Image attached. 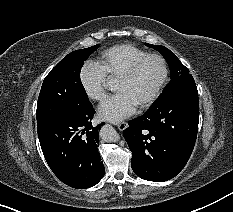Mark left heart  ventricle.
<instances>
[{
  "instance_id": "obj_1",
  "label": "left heart ventricle",
  "mask_w": 233,
  "mask_h": 212,
  "mask_svg": "<svg viewBox=\"0 0 233 212\" xmlns=\"http://www.w3.org/2000/svg\"><path fill=\"white\" fill-rule=\"evenodd\" d=\"M162 77V65L159 60H146L135 75L126 81L118 80L115 90L127 94L136 106L144 102L154 91Z\"/></svg>"
}]
</instances>
